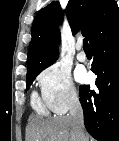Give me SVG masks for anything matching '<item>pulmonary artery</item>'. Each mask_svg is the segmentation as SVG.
Instances as JSON below:
<instances>
[{
    "label": "pulmonary artery",
    "instance_id": "e3ab8cb5",
    "mask_svg": "<svg viewBox=\"0 0 119 141\" xmlns=\"http://www.w3.org/2000/svg\"><path fill=\"white\" fill-rule=\"evenodd\" d=\"M76 49H77V59L81 62H84L87 60V55L85 54V52L83 51L82 48V43L78 42L76 45Z\"/></svg>",
    "mask_w": 119,
    "mask_h": 141
}]
</instances>
